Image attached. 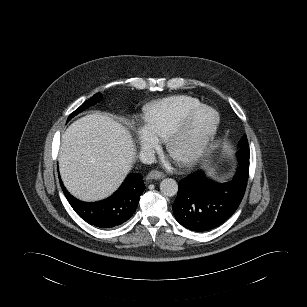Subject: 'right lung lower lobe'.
<instances>
[{
    "instance_id": "obj_1",
    "label": "right lung lower lobe",
    "mask_w": 307,
    "mask_h": 307,
    "mask_svg": "<svg viewBox=\"0 0 307 307\" xmlns=\"http://www.w3.org/2000/svg\"><path fill=\"white\" fill-rule=\"evenodd\" d=\"M62 190L74 211L92 226L109 229L121 225L135 212L141 193L145 190L141 174H130L111 197L94 203L77 200L68 193L63 183Z\"/></svg>"
}]
</instances>
